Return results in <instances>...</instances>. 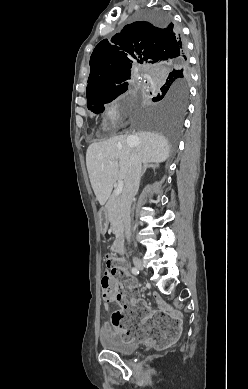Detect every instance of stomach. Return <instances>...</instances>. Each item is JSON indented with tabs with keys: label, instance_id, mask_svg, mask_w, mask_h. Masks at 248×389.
<instances>
[{
	"label": "stomach",
	"instance_id": "1",
	"mask_svg": "<svg viewBox=\"0 0 248 389\" xmlns=\"http://www.w3.org/2000/svg\"><path fill=\"white\" fill-rule=\"evenodd\" d=\"M100 213V225H101V234L107 235L108 234V226H107V220H110L111 215L110 213H107L106 207H100L99 208Z\"/></svg>",
	"mask_w": 248,
	"mask_h": 389
}]
</instances>
